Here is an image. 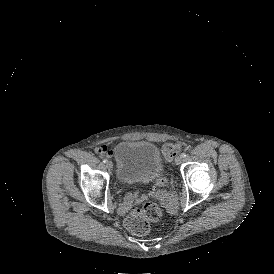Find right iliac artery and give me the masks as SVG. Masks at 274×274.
Listing matches in <instances>:
<instances>
[{"label":"right iliac artery","mask_w":274,"mask_h":274,"mask_svg":"<svg viewBox=\"0 0 274 274\" xmlns=\"http://www.w3.org/2000/svg\"><path fill=\"white\" fill-rule=\"evenodd\" d=\"M103 162H104V163H107V162H108V160H107V159H104V160H103Z\"/></svg>","instance_id":"obj_1"}]
</instances>
